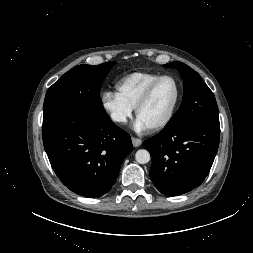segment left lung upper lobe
Segmentation results:
<instances>
[{"label": "left lung upper lobe", "instance_id": "5c2ea615", "mask_svg": "<svg viewBox=\"0 0 253 253\" xmlns=\"http://www.w3.org/2000/svg\"><path fill=\"white\" fill-rule=\"evenodd\" d=\"M164 67L176 68L184 81L182 104L163 131H170L195 122L219 123L216 99L200 75L182 62H171Z\"/></svg>", "mask_w": 253, "mask_h": 253}]
</instances>
